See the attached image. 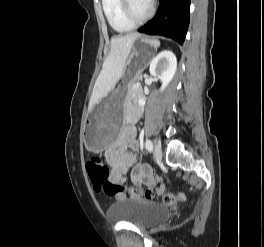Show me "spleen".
<instances>
[{"mask_svg": "<svg viewBox=\"0 0 264 247\" xmlns=\"http://www.w3.org/2000/svg\"><path fill=\"white\" fill-rule=\"evenodd\" d=\"M150 44L154 47H158L160 45V42L158 40H150Z\"/></svg>", "mask_w": 264, "mask_h": 247, "instance_id": "obj_1", "label": "spleen"}]
</instances>
